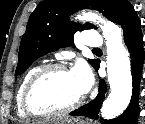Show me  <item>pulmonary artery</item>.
<instances>
[{"label":"pulmonary artery","mask_w":145,"mask_h":124,"mask_svg":"<svg viewBox=\"0 0 145 124\" xmlns=\"http://www.w3.org/2000/svg\"><path fill=\"white\" fill-rule=\"evenodd\" d=\"M84 44L89 48H99L103 45L102 37L96 30L84 31Z\"/></svg>","instance_id":"pulmonary-artery-1"}]
</instances>
